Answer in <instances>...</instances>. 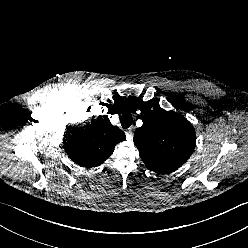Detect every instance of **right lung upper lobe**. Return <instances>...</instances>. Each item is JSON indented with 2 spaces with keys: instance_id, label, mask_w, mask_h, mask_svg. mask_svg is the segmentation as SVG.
<instances>
[{
  "instance_id": "1",
  "label": "right lung upper lobe",
  "mask_w": 248,
  "mask_h": 248,
  "mask_svg": "<svg viewBox=\"0 0 248 248\" xmlns=\"http://www.w3.org/2000/svg\"><path fill=\"white\" fill-rule=\"evenodd\" d=\"M125 138L124 132L113 126L107 116H99L84 126L68 128L64 147L71 160L89 168L102 164Z\"/></svg>"
}]
</instances>
